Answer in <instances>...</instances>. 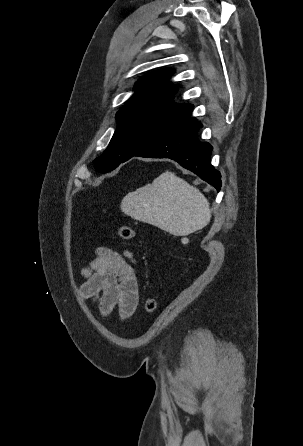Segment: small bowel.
<instances>
[{
	"instance_id": "obj_1",
	"label": "small bowel",
	"mask_w": 303,
	"mask_h": 446,
	"mask_svg": "<svg viewBox=\"0 0 303 446\" xmlns=\"http://www.w3.org/2000/svg\"><path fill=\"white\" fill-rule=\"evenodd\" d=\"M85 282L81 293L98 302L99 310L107 315L118 307L121 317L134 313L139 302L138 276L129 251L118 253L98 248L89 266L83 270Z\"/></svg>"
}]
</instances>
